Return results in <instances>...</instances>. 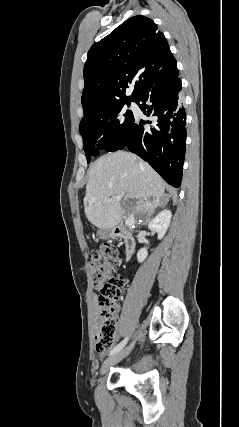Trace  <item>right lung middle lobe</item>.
Segmentation results:
<instances>
[{"label": "right lung middle lobe", "mask_w": 239, "mask_h": 427, "mask_svg": "<svg viewBox=\"0 0 239 427\" xmlns=\"http://www.w3.org/2000/svg\"><path fill=\"white\" fill-rule=\"evenodd\" d=\"M135 99L108 101L91 108L82 118L79 130L83 138V147L89 163L92 156L103 150H119L128 140L134 120L130 105Z\"/></svg>", "instance_id": "obj_1"}]
</instances>
